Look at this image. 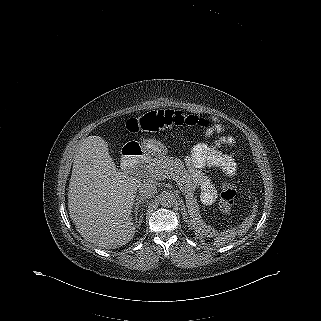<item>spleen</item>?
Returning <instances> with one entry per match:
<instances>
[{
  "instance_id": "3e777b00",
  "label": "spleen",
  "mask_w": 321,
  "mask_h": 321,
  "mask_svg": "<svg viewBox=\"0 0 321 321\" xmlns=\"http://www.w3.org/2000/svg\"><path fill=\"white\" fill-rule=\"evenodd\" d=\"M255 217V212L254 214L252 213L251 215H249L242 224H240L236 229L235 228H231V229H227L224 232H222L217 238H216V242L221 245L226 244L228 242H231L235 239V237L237 235L242 236L243 234H245L249 228L251 227L252 223H253V219Z\"/></svg>"
}]
</instances>
